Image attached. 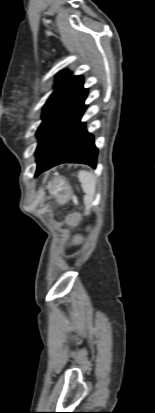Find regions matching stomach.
Masks as SVG:
<instances>
[{"label":"stomach","instance_id":"stomach-1","mask_svg":"<svg viewBox=\"0 0 155 413\" xmlns=\"http://www.w3.org/2000/svg\"><path fill=\"white\" fill-rule=\"evenodd\" d=\"M49 193L57 202L64 204L70 199L71 191L68 184L60 178L53 179L48 185Z\"/></svg>","mask_w":155,"mask_h":413}]
</instances>
